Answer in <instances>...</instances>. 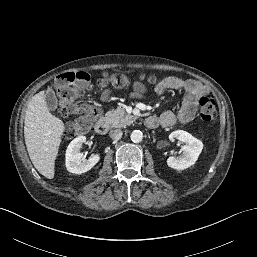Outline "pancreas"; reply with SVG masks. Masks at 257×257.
Here are the masks:
<instances>
[{"label":"pancreas","instance_id":"1","mask_svg":"<svg viewBox=\"0 0 257 257\" xmlns=\"http://www.w3.org/2000/svg\"><path fill=\"white\" fill-rule=\"evenodd\" d=\"M104 120L112 127V128H124L127 125H130L134 122L135 117L127 114L124 109L117 108L109 110Z\"/></svg>","mask_w":257,"mask_h":257}]
</instances>
